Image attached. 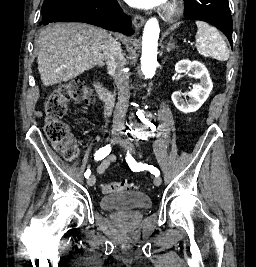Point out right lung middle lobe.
<instances>
[{"label": "right lung middle lobe", "instance_id": "right-lung-middle-lobe-1", "mask_svg": "<svg viewBox=\"0 0 256 267\" xmlns=\"http://www.w3.org/2000/svg\"><path fill=\"white\" fill-rule=\"evenodd\" d=\"M92 0H44L41 12L45 11L48 8L65 5L69 7H79L83 4H86Z\"/></svg>", "mask_w": 256, "mask_h": 267}]
</instances>
